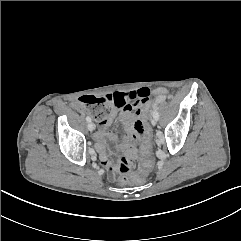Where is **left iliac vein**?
<instances>
[{
  "label": "left iliac vein",
  "mask_w": 241,
  "mask_h": 241,
  "mask_svg": "<svg viewBox=\"0 0 241 241\" xmlns=\"http://www.w3.org/2000/svg\"><path fill=\"white\" fill-rule=\"evenodd\" d=\"M151 123H152V125H156L157 119L153 117V118L151 119Z\"/></svg>",
  "instance_id": "left-iliac-vein-1"
}]
</instances>
